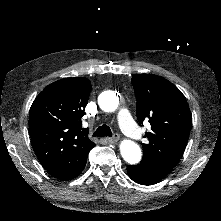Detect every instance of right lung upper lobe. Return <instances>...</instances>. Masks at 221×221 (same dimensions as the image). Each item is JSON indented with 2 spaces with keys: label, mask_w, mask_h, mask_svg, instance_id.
Returning a JSON list of instances; mask_svg holds the SVG:
<instances>
[{
  "label": "right lung upper lobe",
  "mask_w": 221,
  "mask_h": 221,
  "mask_svg": "<svg viewBox=\"0 0 221 221\" xmlns=\"http://www.w3.org/2000/svg\"><path fill=\"white\" fill-rule=\"evenodd\" d=\"M90 92L87 78L61 79L45 87L30 108L33 148L42 166L57 179H73L95 146L81 122Z\"/></svg>",
  "instance_id": "obj_1"
}]
</instances>
